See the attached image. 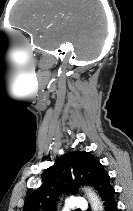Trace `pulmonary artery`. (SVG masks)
Returning <instances> with one entry per match:
<instances>
[{
	"label": "pulmonary artery",
	"mask_w": 133,
	"mask_h": 211,
	"mask_svg": "<svg viewBox=\"0 0 133 211\" xmlns=\"http://www.w3.org/2000/svg\"><path fill=\"white\" fill-rule=\"evenodd\" d=\"M71 207L73 209H78V210H85L87 208V202L84 198L82 197H75L72 200Z\"/></svg>",
	"instance_id": "1"
}]
</instances>
